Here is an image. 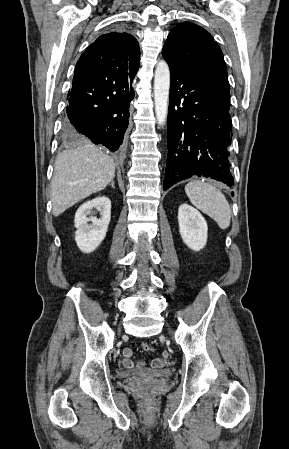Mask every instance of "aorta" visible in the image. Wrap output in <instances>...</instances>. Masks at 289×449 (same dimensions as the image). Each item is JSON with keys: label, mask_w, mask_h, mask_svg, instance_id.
I'll list each match as a JSON object with an SVG mask.
<instances>
[{"label": "aorta", "mask_w": 289, "mask_h": 449, "mask_svg": "<svg viewBox=\"0 0 289 449\" xmlns=\"http://www.w3.org/2000/svg\"><path fill=\"white\" fill-rule=\"evenodd\" d=\"M169 89V66L164 60H161L156 66L154 77L155 114L159 125H163L167 119Z\"/></svg>", "instance_id": "aorta-1"}]
</instances>
